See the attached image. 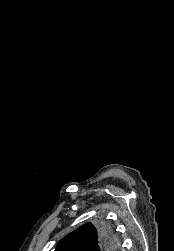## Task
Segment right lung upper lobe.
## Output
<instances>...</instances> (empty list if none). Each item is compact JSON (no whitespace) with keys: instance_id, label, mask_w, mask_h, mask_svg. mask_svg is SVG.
<instances>
[{"instance_id":"cb5924a9","label":"right lung upper lobe","mask_w":174,"mask_h":251,"mask_svg":"<svg viewBox=\"0 0 174 251\" xmlns=\"http://www.w3.org/2000/svg\"><path fill=\"white\" fill-rule=\"evenodd\" d=\"M100 241V228L86 223L65 236L54 251H92Z\"/></svg>"}]
</instances>
